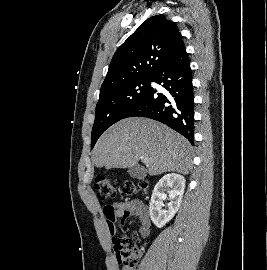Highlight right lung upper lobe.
<instances>
[{
	"instance_id": "cb5924a9",
	"label": "right lung upper lobe",
	"mask_w": 267,
	"mask_h": 270,
	"mask_svg": "<svg viewBox=\"0 0 267 270\" xmlns=\"http://www.w3.org/2000/svg\"><path fill=\"white\" fill-rule=\"evenodd\" d=\"M182 44L174 22L163 15L148 18L115 52L100 91L126 81L151 77Z\"/></svg>"
}]
</instances>
